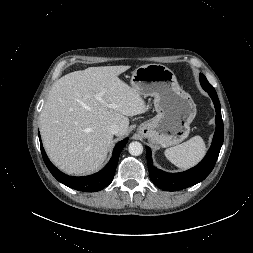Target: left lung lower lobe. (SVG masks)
<instances>
[{"mask_svg":"<svg viewBox=\"0 0 253 253\" xmlns=\"http://www.w3.org/2000/svg\"><path fill=\"white\" fill-rule=\"evenodd\" d=\"M203 89L213 100L216 110V130L212 145L205 158L195 167L181 173H167L152 165L151 150L146 147L149 175L152 182L165 191H177L193 186L204 180L214 168L221 146L223 144L224 129L221 117V106L217 93L212 85L204 84Z\"/></svg>","mask_w":253,"mask_h":253,"instance_id":"left-lung-lower-lobe-1","label":"left lung lower lobe"}]
</instances>
